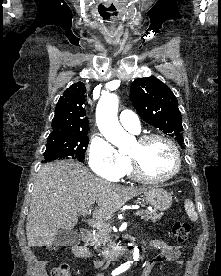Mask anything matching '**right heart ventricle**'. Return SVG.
I'll return each instance as SVG.
<instances>
[{
    "label": "right heart ventricle",
    "instance_id": "1",
    "mask_svg": "<svg viewBox=\"0 0 221 276\" xmlns=\"http://www.w3.org/2000/svg\"><path fill=\"white\" fill-rule=\"evenodd\" d=\"M123 175H133L129 159H127V164Z\"/></svg>",
    "mask_w": 221,
    "mask_h": 276
}]
</instances>
